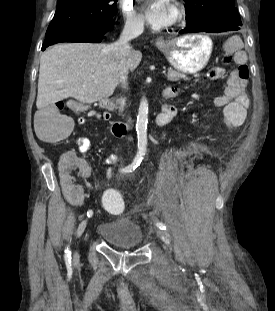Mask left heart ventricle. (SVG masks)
<instances>
[{
    "mask_svg": "<svg viewBox=\"0 0 275 311\" xmlns=\"http://www.w3.org/2000/svg\"><path fill=\"white\" fill-rule=\"evenodd\" d=\"M174 14H175V10L173 11V16H174Z\"/></svg>",
    "mask_w": 275,
    "mask_h": 311,
    "instance_id": "obj_1",
    "label": "left heart ventricle"
}]
</instances>
